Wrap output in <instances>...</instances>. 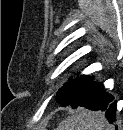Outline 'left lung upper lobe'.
Returning <instances> with one entry per match:
<instances>
[{
	"label": "left lung upper lobe",
	"instance_id": "left-lung-upper-lobe-1",
	"mask_svg": "<svg viewBox=\"0 0 123 130\" xmlns=\"http://www.w3.org/2000/svg\"><path fill=\"white\" fill-rule=\"evenodd\" d=\"M88 79V76H81L78 79H73L68 82L57 92V102L64 107L68 105H71L72 107L76 106L81 98Z\"/></svg>",
	"mask_w": 123,
	"mask_h": 130
}]
</instances>
